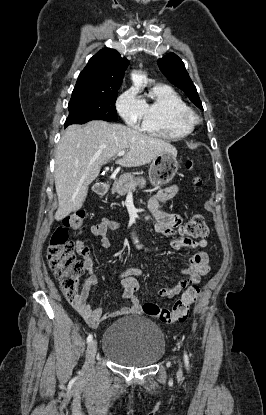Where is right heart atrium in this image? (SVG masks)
<instances>
[{
	"label": "right heart atrium",
	"mask_w": 266,
	"mask_h": 415,
	"mask_svg": "<svg viewBox=\"0 0 266 415\" xmlns=\"http://www.w3.org/2000/svg\"><path fill=\"white\" fill-rule=\"evenodd\" d=\"M116 108L123 120L131 127H138L143 120L144 102L135 88H129L119 96Z\"/></svg>",
	"instance_id": "right-heart-atrium-1"
}]
</instances>
